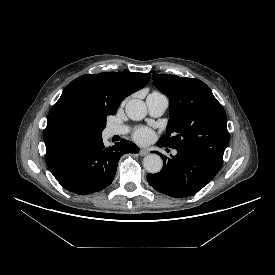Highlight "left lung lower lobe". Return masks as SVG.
<instances>
[{"instance_id": "1", "label": "left lung lower lobe", "mask_w": 275, "mask_h": 275, "mask_svg": "<svg viewBox=\"0 0 275 275\" xmlns=\"http://www.w3.org/2000/svg\"><path fill=\"white\" fill-rule=\"evenodd\" d=\"M159 147L163 145L157 143ZM177 150L171 158L156 152L163 159L159 173L148 174L149 184L157 191L171 197L183 198L196 194L207 185L222 167L203 155L186 150Z\"/></svg>"}]
</instances>
